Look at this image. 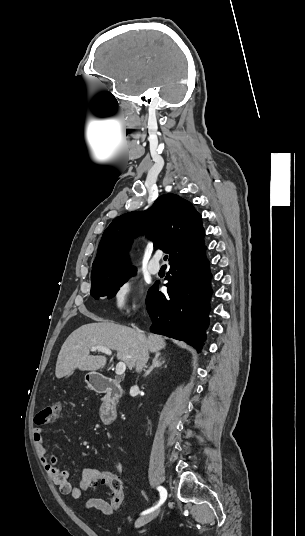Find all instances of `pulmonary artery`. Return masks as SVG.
<instances>
[{"instance_id":"obj_1","label":"pulmonary artery","mask_w":305,"mask_h":536,"mask_svg":"<svg viewBox=\"0 0 305 536\" xmlns=\"http://www.w3.org/2000/svg\"><path fill=\"white\" fill-rule=\"evenodd\" d=\"M159 257H160V253H157L156 256L154 257L155 261L148 265V270L152 274H157L160 271L161 266L157 261Z\"/></svg>"}]
</instances>
